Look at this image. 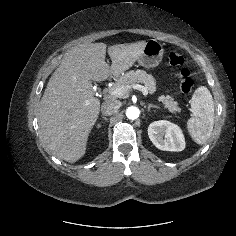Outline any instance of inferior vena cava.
I'll use <instances>...</instances> for the list:
<instances>
[{"label":"inferior vena cava","mask_w":236,"mask_h":236,"mask_svg":"<svg viewBox=\"0 0 236 236\" xmlns=\"http://www.w3.org/2000/svg\"><path fill=\"white\" fill-rule=\"evenodd\" d=\"M120 102L115 99H109L102 103L101 112L105 116H110L118 112Z\"/></svg>","instance_id":"obj_1"}]
</instances>
